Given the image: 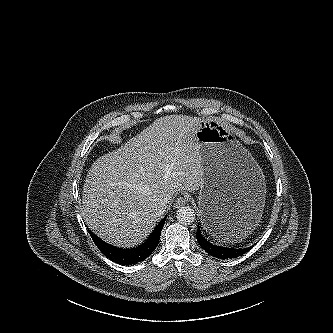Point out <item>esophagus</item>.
Wrapping results in <instances>:
<instances>
[{"label":"esophagus","mask_w":333,"mask_h":333,"mask_svg":"<svg viewBox=\"0 0 333 333\" xmlns=\"http://www.w3.org/2000/svg\"><path fill=\"white\" fill-rule=\"evenodd\" d=\"M188 200H189L188 196H180L177 198L174 205L176 208H180L184 206L188 202Z\"/></svg>","instance_id":"esophagus-1"}]
</instances>
